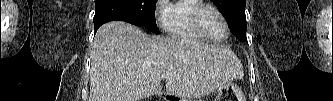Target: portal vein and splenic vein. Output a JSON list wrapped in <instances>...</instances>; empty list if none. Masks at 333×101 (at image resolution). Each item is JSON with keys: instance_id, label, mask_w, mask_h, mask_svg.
<instances>
[{"instance_id": "portal-vein-and-splenic-vein-1", "label": "portal vein and splenic vein", "mask_w": 333, "mask_h": 101, "mask_svg": "<svg viewBox=\"0 0 333 101\" xmlns=\"http://www.w3.org/2000/svg\"><path fill=\"white\" fill-rule=\"evenodd\" d=\"M161 77L163 78V79H170L171 78V75L170 74H163V75H161Z\"/></svg>"}]
</instances>
